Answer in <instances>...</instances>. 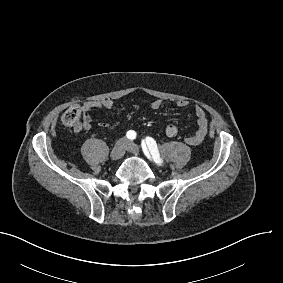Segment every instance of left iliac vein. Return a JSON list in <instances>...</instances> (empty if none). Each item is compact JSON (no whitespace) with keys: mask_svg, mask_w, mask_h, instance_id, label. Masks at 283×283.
<instances>
[{"mask_svg":"<svg viewBox=\"0 0 283 283\" xmlns=\"http://www.w3.org/2000/svg\"><path fill=\"white\" fill-rule=\"evenodd\" d=\"M126 149L128 152L135 155L139 154L140 152L139 147L133 142L128 143Z\"/></svg>","mask_w":283,"mask_h":283,"instance_id":"1","label":"left iliac vein"}]
</instances>
